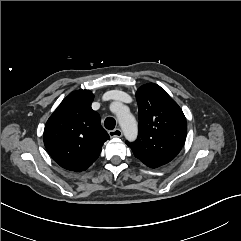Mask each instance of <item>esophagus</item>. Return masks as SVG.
<instances>
[{
  "label": "esophagus",
  "instance_id": "obj_1",
  "mask_svg": "<svg viewBox=\"0 0 241 241\" xmlns=\"http://www.w3.org/2000/svg\"><path fill=\"white\" fill-rule=\"evenodd\" d=\"M122 135H123V132L119 128L109 131L110 137H122Z\"/></svg>",
  "mask_w": 241,
  "mask_h": 241
}]
</instances>
